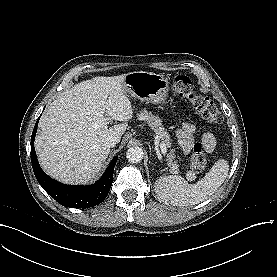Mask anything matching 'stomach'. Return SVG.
I'll list each match as a JSON object with an SVG mask.
<instances>
[{
	"label": "stomach",
	"mask_w": 277,
	"mask_h": 277,
	"mask_svg": "<svg viewBox=\"0 0 277 277\" xmlns=\"http://www.w3.org/2000/svg\"><path fill=\"white\" fill-rule=\"evenodd\" d=\"M123 89L126 94L141 101L163 104L168 95L169 82L162 74L133 71L126 74Z\"/></svg>",
	"instance_id": "stomach-1"
}]
</instances>
